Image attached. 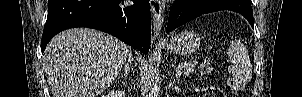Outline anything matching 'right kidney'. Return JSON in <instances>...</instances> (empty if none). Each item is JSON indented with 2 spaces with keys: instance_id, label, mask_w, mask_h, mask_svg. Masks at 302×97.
<instances>
[{
  "instance_id": "obj_1",
  "label": "right kidney",
  "mask_w": 302,
  "mask_h": 97,
  "mask_svg": "<svg viewBox=\"0 0 302 97\" xmlns=\"http://www.w3.org/2000/svg\"><path fill=\"white\" fill-rule=\"evenodd\" d=\"M119 94H120V96H125L124 93H122V92H119Z\"/></svg>"
}]
</instances>
